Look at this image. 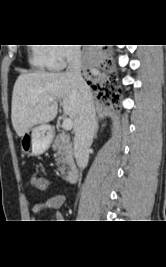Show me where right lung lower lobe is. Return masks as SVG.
<instances>
[{"label": "right lung lower lobe", "mask_w": 166, "mask_h": 267, "mask_svg": "<svg viewBox=\"0 0 166 267\" xmlns=\"http://www.w3.org/2000/svg\"><path fill=\"white\" fill-rule=\"evenodd\" d=\"M88 84H91V82L88 81ZM93 89L94 90H98L99 91V95H103L104 94V97H109V95L112 93V90L110 88H108V86H104L103 84L102 85L93 86Z\"/></svg>", "instance_id": "98d812e1"}]
</instances>
